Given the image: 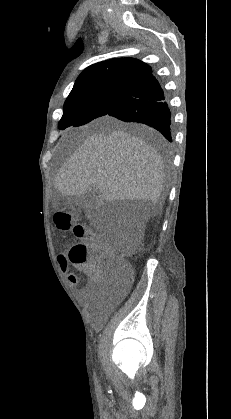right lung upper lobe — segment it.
Here are the masks:
<instances>
[{"label":"right lung upper lobe","mask_w":231,"mask_h":419,"mask_svg":"<svg viewBox=\"0 0 231 419\" xmlns=\"http://www.w3.org/2000/svg\"><path fill=\"white\" fill-rule=\"evenodd\" d=\"M151 72L150 66L134 58L102 61L87 67L77 78L71 92L103 85L135 86Z\"/></svg>","instance_id":"obj_1"}]
</instances>
